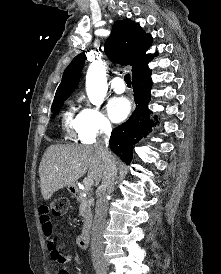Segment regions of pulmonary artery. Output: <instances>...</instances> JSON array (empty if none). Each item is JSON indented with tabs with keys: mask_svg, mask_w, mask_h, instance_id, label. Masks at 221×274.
Segmentation results:
<instances>
[{
	"mask_svg": "<svg viewBox=\"0 0 221 274\" xmlns=\"http://www.w3.org/2000/svg\"><path fill=\"white\" fill-rule=\"evenodd\" d=\"M111 88L114 92L120 94L123 93L126 89L123 79L119 76L114 77L111 81Z\"/></svg>",
	"mask_w": 221,
	"mask_h": 274,
	"instance_id": "1",
	"label": "pulmonary artery"
}]
</instances>
